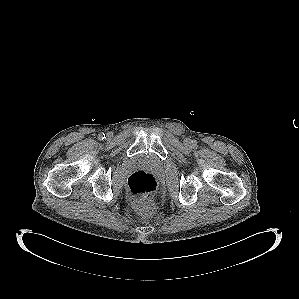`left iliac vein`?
Segmentation results:
<instances>
[{"mask_svg":"<svg viewBox=\"0 0 299 299\" xmlns=\"http://www.w3.org/2000/svg\"><path fill=\"white\" fill-rule=\"evenodd\" d=\"M184 144L187 146V147H190L191 146V140L189 138H186L184 140Z\"/></svg>","mask_w":299,"mask_h":299,"instance_id":"obj_1","label":"left iliac vein"}]
</instances>
